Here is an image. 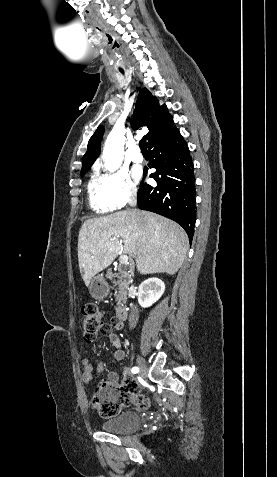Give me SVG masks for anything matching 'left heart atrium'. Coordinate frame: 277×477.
I'll return each mask as SVG.
<instances>
[{
	"mask_svg": "<svg viewBox=\"0 0 277 477\" xmlns=\"http://www.w3.org/2000/svg\"><path fill=\"white\" fill-rule=\"evenodd\" d=\"M134 176H135L136 179H138L140 177L139 171L135 170L134 171Z\"/></svg>",
	"mask_w": 277,
	"mask_h": 477,
	"instance_id": "obj_1",
	"label": "left heart atrium"
}]
</instances>
